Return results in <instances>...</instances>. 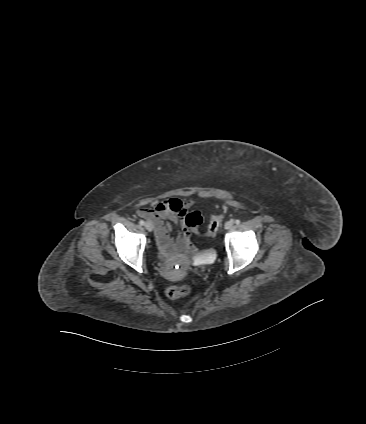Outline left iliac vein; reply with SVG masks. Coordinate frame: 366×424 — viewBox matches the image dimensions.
<instances>
[{"mask_svg":"<svg viewBox=\"0 0 366 424\" xmlns=\"http://www.w3.org/2000/svg\"><path fill=\"white\" fill-rule=\"evenodd\" d=\"M225 229H231L233 227V221L229 220L224 225Z\"/></svg>","mask_w":366,"mask_h":424,"instance_id":"left-iliac-vein-1","label":"left iliac vein"}]
</instances>
